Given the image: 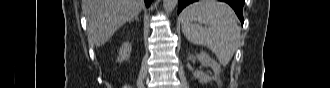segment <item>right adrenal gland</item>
<instances>
[{
  "instance_id": "obj_1",
  "label": "right adrenal gland",
  "mask_w": 330,
  "mask_h": 88,
  "mask_svg": "<svg viewBox=\"0 0 330 88\" xmlns=\"http://www.w3.org/2000/svg\"><path fill=\"white\" fill-rule=\"evenodd\" d=\"M134 19H135L136 21H139V18H138V16H136Z\"/></svg>"
}]
</instances>
